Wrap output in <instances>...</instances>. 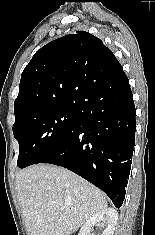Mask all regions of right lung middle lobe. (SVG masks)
Here are the masks:
<instances>
[{"instance_id": "1", "label": "right lung middle lobe", "mask_w": 155, "mask_h": 235, "mask_svg": "<svg viewBox=\"0 0 155 235\" xmlns=\"http://www.w3.org/2000/svg\"><path fill=\"white\" fill-rule=\"evenodd\" d=\"M78 126V107L74 105H53L20 114L13 125L20 148L17 166L39 163L65 143Z\"/></svg>"}]
</instances>
